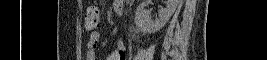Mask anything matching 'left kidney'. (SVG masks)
<instances>
[{
    "instance_id": "left-kidney-1",
    "label": "left kidney",
    "mask_w": 267,
    "mask_h": 60,
    "mask_svg": "<svg viewBox=\"0 0 267 60\" xmlns=\"http://www.w3.org/2000/svg\"><path fill=\"white\" fill-rule=\"evenodd\" d=\"M178 3L179 0H166V7L159 10V17L153 21L149 13L144 9L145 3L143 2L136 10L135 23L144 32H157L169 21L170 17L176 10Z\"/></svg>"
}]
</instances>
